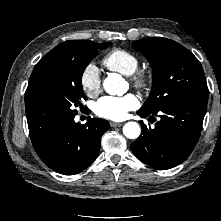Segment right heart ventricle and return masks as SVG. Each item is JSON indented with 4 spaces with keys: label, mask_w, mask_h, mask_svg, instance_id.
<instances>
[{
    "label": "right heart ventricle",
    "mask_w": 221,
    "mask_h": 221,
    "mask_svg": "<svg viewBox=\"0 0 221 221\" xmlns=\"http://www.w3.org/2000/svg\"><path fill=\"white\" fill-rule=\"evenodd\" d=\"M104 66L125 76H131L138 68L139 60L132 52L116 48L108 52L103 58Z\"/></svg>",
    "instance_id": "right-heart-ventricle-1"
}]
</instances>
